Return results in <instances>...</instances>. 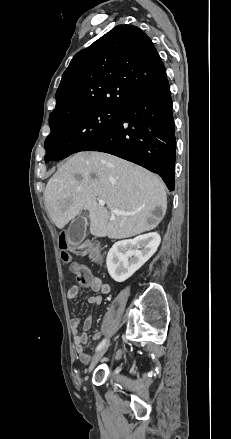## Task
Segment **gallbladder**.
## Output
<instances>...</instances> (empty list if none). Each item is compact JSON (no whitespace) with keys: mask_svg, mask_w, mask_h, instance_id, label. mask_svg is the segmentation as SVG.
<instances>
[{"mask_svg":"<svg viewBox=\"0 0 231 439\" xmlns=\"http://www.w3.org/2000/svg\"><path fill=\"white\" fill-rule=\"evenodd\" d=\"M87 218L85 216H78L75 218L67 231L68 239L72 245L76 241H83L86 237Z\"/></svg>","mask_w":231,"mask_h":439,"instance_id":"1","label":"gallbladder"}]
</instances>
